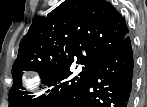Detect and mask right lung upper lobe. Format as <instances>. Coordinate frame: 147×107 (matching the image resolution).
<instances>
[{
  "instance_id": "right-lung-upper-lobe-1",
  "label": "right lung upper lobe",
  "mask_w": 147,
  "mask_h": 107,
  "mask_svg": "<svg viewBox=\"0 0 147 107\" xmlns=\"http://www.w3.org/2000/svg\"><path fill=\"white\" fill-rule=\"evenodd\" d=\"M128 35L125 19L106 0H65L34 19L20 42L13 69L95 67Z\"/></svg>"
}]
</instances>
